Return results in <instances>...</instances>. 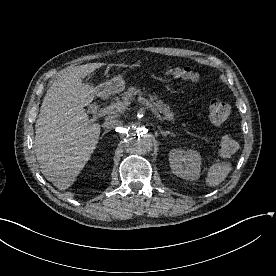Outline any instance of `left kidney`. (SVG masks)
Masks as SVG:
<instances>
[{"label": "left kidney", "mask_w": 276, "mask_h": 276, "mask_svg": "<svg viewBox=\"0 0 276 276\" xmlns=\"http://www.w3.org/2000/svg\"><path fill=\"white\" fill-rule=\"evenodd\" d=\"M169 161L176 176L191 181L200 177L202 159L196 150L173 149L169 153Z\"/></svg>", "instance_id": "5707ae66"}]
</instances>
